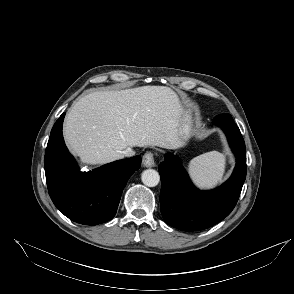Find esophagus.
Returning <instances> with one entry per match:
<instances>
[{
	"mask_svg": "<svg viewBox=\"0 0 294 294\" xmlns=\"http://www.w3.org/2000/svg\"><path fill=\"white\" fill-rule=\"evenodd\" d=\"M142 163L144 167L150 168L155 166L154 155L151 152L144 154L142 158Z\"/></svg>",
	"mask_w": 294,
	"mask_h": 294,
	"instance_id": "obj_1",
	"label": "esophagus"
}]
</instances>
